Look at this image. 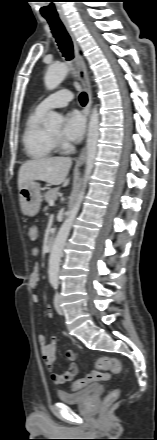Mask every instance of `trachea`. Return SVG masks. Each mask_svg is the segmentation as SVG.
Returning <instances> with one entry per match:
<instances>
[{
  "mask_svg": "<svg viewBox=\"0 0 157 440\" xmlns=\"http://www.w3.org/2000/svg\"><path fill=\"white\" fill-rule=\"evenodd\" d=\"M47 22L50 25L51 31L53 33V36L56 39V42L59 46L60 51L62 52L63 56L66 58V60L70 61L73 59V44L71 41V38L66 31L63 23L59 18H46ZM79 101L82 106H85L88 97L85 92H82L79 96Z\"/></svg>",
  "mask_w": 157,
  "mask_h": 440,
  "instance_id": "3493384b",
  "label": "trachea"
}]
</instances>
